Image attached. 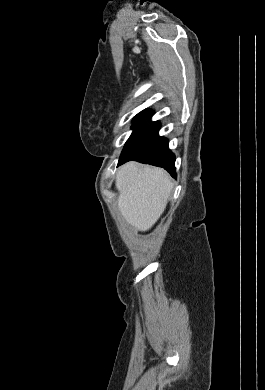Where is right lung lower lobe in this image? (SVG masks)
<instances>
[{"label": "right lung lower lobe", "mask_w": 265, "mask_h": 390, "mask_svg": "<svg viewBox=\"0 0 265 390\" xmlns=\"http://www.w3.org/2000/svg\"><path fill=\"white\" fill-rule=\"evenodd\" d=\"M153 112L144 111L133 125V133L127 140L118 165L130 160L151 164L166 169L176 178L175 155L168 148V140L158 135L159 122H151Z\"/></svg>", "instance_id": "1"}]
</instances>
